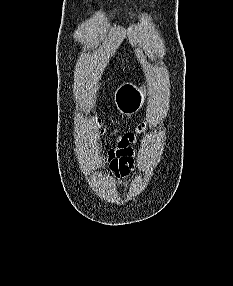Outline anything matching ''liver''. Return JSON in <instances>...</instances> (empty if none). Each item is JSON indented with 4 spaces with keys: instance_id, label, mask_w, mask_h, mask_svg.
<instances>
[{
    "instance_id": "obj_1",
    "label": "liver",
    "mask_w": 233,
    "mask_h": 286,
    "mask_svg": "<svg viewBox=\"0 0 233 286\" xmlns=\"http://www.w3.org/2000/svg\"><path fill=\"white\" fill-rule=\"evenodd\" d=\"M97 90H98V86L95 87V89L92 91L91 95L94 96L96 94Z\"/></svg>"
}]
</instances>
